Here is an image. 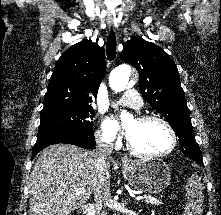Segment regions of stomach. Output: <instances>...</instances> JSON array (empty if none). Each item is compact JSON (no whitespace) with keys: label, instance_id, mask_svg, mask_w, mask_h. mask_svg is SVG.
I'll return each instance as SVG.
<instances>
[{"label":"stomach","instance_id":"1","mask_svg":"<svg viewBox=\"0 0 221 215\" xmlns=\"http://www.w3.org/2000/svg\"><path fill=\"white\" fill-rule=\"evenodd\" d=\"M122 173L130 186L147 194L162 192L171 178L168 165L160 159L127 160L122 164Z\"/></svg>","mask_w":221,"mask_h":215}]
</instances>
